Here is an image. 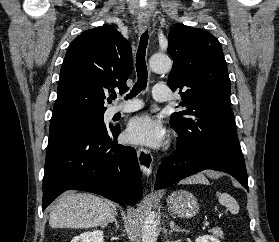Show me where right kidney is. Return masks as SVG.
<instances>
[{
    "label": "right kidney",
    "instance_id": "obj_1",
    "mask_svg": "<svg viewBox=\"0 0 279 242\" xmlns=\"http://www.w3.org/2000/svg\"><path fill=\"white\" fill-rule=\"evenodd\" d=\"M104 234L102 230L87 231L74 237L71 242H103Z\"/></svg>",
    "mask_w": 279,
    "mask_h": 242
}]
</instances>
